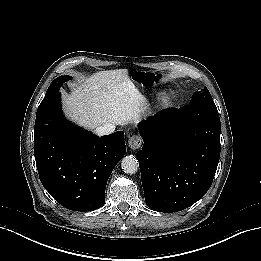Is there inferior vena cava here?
Listing matches in <instances>:
<instances>
[{"label": "inferior vena cava", "mask_w": 261, "mask_h": 261, "mask_svg": "<svg viewBox=\"0 0 261 261\" xmlns=\"http://www.w3.org/2000/svg\"><path fill=\"white\" fill-rule=\"evenodd\" d=\"M114 131H115V125L108 123V124H105L102 126H98L95 129V134L97 136H104V135H109V134L113 133Z\"/></svg>", "instance_id": "inferior-vena-cava-1"}]
</instances>
